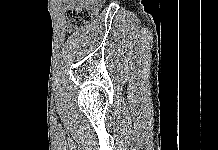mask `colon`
Instances as JSON below:
<instances>
[{"label": "colon", "instance_id": "colon-1", "mask_svg": "<svg viewBox=\"0 0 218 150\" xmlns=\"http://www.w3.org/2000/svg\"><path fill=\"white\" fill-rule=\"evenodd\" d=\"M100 8L101 5H95L91 7H77L74 9H70L67 12V30L72 31L91 22L99 12Z\"/></svg>", "mask_w": 218, "mask_h": 150}]
</instances>
